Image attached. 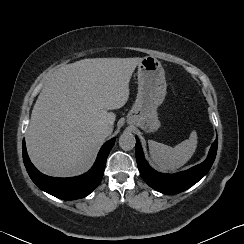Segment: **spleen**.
Segmentation results:
<instances>
[{
	"label": "spleen",
	"instance_id": "3e777b00",
	"mask_svg": "<svg viewBox=\"0 0 244 244\" xmlns=\"http://www.w3.org/2000/svg\"><path fill=\"white\" fill-rule=\"evenodd\" d=\"M154 165L163 172L176 171L193 156L197 148V134L192 131L189 139L171 147L153 140L148 141Z\"/></svg>",
	"mask_w": 244,
	"mask_h": 244
}]
</instances>
